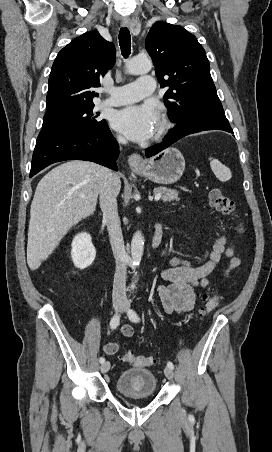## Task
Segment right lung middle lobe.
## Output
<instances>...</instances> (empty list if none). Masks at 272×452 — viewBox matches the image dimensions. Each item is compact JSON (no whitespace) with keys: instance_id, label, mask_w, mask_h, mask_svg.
Returning <instances> with one entry per match:
<instances>
[{"instance_id":"1","label":"right lung middle lobe","mask_w":272,"mask_h":452,"mask_svg":"<svg viewBox=\"0 0 272 452\" xmlns=\"http://www.w3.org/2000/svg\"><path fill=\"white\" fill-rule=\"evenodd\" d=\"M94 104L74 109L45 114L42 130L50 128H73L79 130L94 129L106 124V120H99L93 114Z\"/></svg>"}]
</instances>
